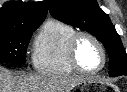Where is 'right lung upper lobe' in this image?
<instances>
[{
  "mask_svg": "<svg viewBox=\"0 0 127 92\" xmlns=\"http://www.w3.org/2000/svg\"><path fill=\"white\" fill-rule=\"evenodd\" d=\"M48 12L47 1L6 2L0 8V31L39 26Z\"/></svg>",
  "mask_w": 127,
  "mask_h": 92,
  "instance_id": "cb5924a9",
  "label": "right lung upper lobe"
}]
</instances>
